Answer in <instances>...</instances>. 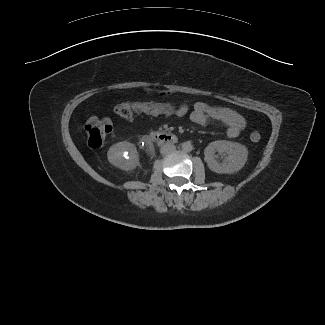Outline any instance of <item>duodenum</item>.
<instances>
[{"label":"duodenum","instance_id":"410a0bca","mask_svg":"<svg viewBox=\"0 0 325 325\" xmlns=\"http://www.w3.org/2000/svg\"><path fill=\"white\" fill-rule=\"evenodd\" d=\"M148 140L161 144H174L177 141V136L170 132H157L149 136Z\"/></svg>","mask_w":325,"mask_h":325}]
</instances>
